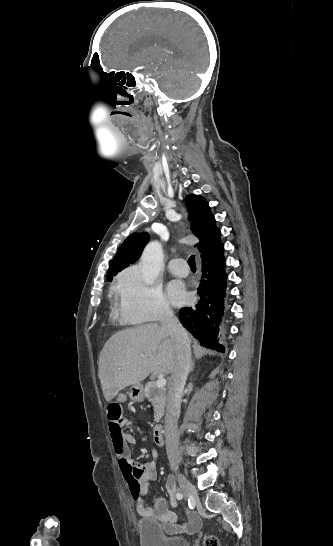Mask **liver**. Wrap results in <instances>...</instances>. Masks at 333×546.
<instances>
[{"label":"liver","mask_w":333,"mask_h":546,"mask_svg":"<svg viewBox=\"0 0 333 546\" xmlns=\"http://www.w3.org/2000/svg\"><path fill=\"white\" fill-rule=\"evenodd\" d=\"M176 362L175 342L156 323L116 333L105 343L98 363L105 400L150 374L172 373Z\"/></svg>","instance_id":"6515ba94"}]
</instances>
